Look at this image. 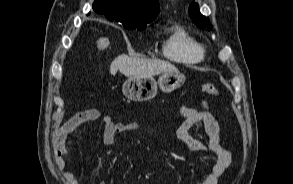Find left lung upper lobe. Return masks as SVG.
<instances>
[{
	"instance_id": "obj_1",
	"label": "left lung upper lobe",
	"mask_w": 293,
	"mask_h": 184,
	"mask_svg": "<svg viewBox=\"0 0 293 184\" xmlns=\"http://www.w3.org/2000/svg\"><path fill=\"white\" fill-rule=\"evenodd\" d=\"M189 13L191 19L194 23L200 28H207L209 31L213 29L212 24L209 21V18L203 16L199 11V6L197 3H192L189 8Z\"/></svg>"
}]
</instances>
